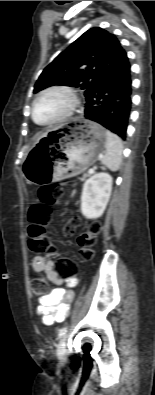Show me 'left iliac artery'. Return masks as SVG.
<instances>
[{
  "label": "left iliac artery",
  "mask_w": 155,
  "mask_h": 395,
  "mask_svg": "<svg viewBox=\"0 0 155 395\" xmlns=\"http://www.w3.org/2000/svg\"><path fill=\"white\" fill-rule=\"evenodd\" d=\"M67 331V327H63L59 330V337L63 336Z\"/></svg>",
  "instance_id": "obj_1"
}]
</instances>
